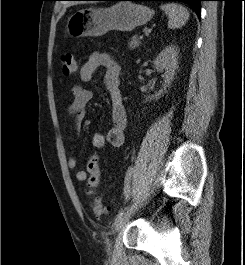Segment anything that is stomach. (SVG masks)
<instances>
[{
	"label": "stomach",
	"instance_id": "0dacf381",
	"mask_svg": "<svg viewBox=\"0 0 245 265\" xmlns=\"http://www.w3.org/2000/svg\"><path fill=\"white\" fill-rule=\"evenodd\" d=\"M154 15L149 7L119 2L111 7H89L73 13L66 24L71 37L101 36L110 30L132 31L146 24Z\"/></svg>",
	"mask_w": 245,
	"mask_h": 265
}]
</instances>
